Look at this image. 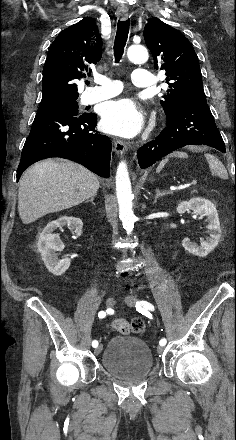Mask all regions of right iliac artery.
Here are the masks:
<instances>
[{
	"label": "right iliac artery",
	"instance_id": "right-iliac-artery-1",
	"mask_svg": "<svg viewBox=\"0 0 236 440\" xmlns=\"http://www.w3.org/2000/svg\"><path fill=\"white\" fill-rule=\"evenodd\" d=\"M107 313H108V310H107ZM105 316H106V312H104V311H100V312L98 313V317H99V318H104ZM92 346H93L94 348H96V347L98 346V341L94 340V341L92 342Z\"/></svg>",
	"mask_w": 236,
	"mask_h": 440
}]
</instances>
